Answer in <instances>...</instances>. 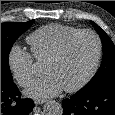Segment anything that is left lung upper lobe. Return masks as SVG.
<instances>
[{"label":"left lung upper lobe","instance_id":"1","mask_svg":"<svg viewBox=\"0 0 115 115\" xmlns=\"http://www.w3.org/2000/svg\"><path fill=\"white\" fill-rule=\"evenodd\" d=\"M100 35L103 45L102 63L94 77L77 94H83L105 86H115V46L105 31L91 22Z\"/></svg>","mask_w":115,"mask_h":115}]
</instances>
